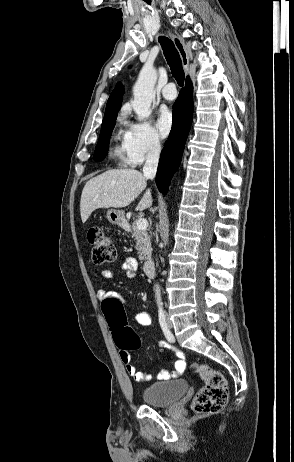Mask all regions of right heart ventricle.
<instances>
[{
	"mask_svg": "<svg viewBox=\"0 0 294 462\" xmlns=\"http://www.w3.org/2000/svg\"><path fill=\"white\" fill-rule=\"evenodd\" d=\"M115 144L112 149V156L119 164L127 163L124 148H123V139L124 134L121 131H118L115 136ZM120 142V143H119Z\"/></svg>",
	"mask_w": 294,
	"mask_h": 462,
	"instance_id": "1",
	"label": "right heart ventricle"
}]
</instances>
